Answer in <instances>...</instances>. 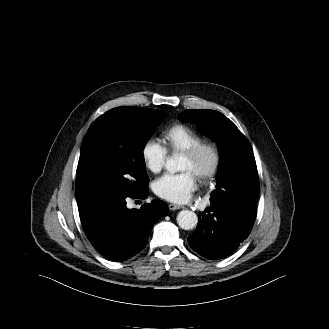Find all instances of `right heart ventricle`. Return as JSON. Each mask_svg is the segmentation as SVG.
<instances>
[{
  "mask_svg": "<svg viewBox=\"0 0 329 329\" xmlns=\"http://www.w3.org/2000/svg\"><path fill=\"white\" fill-rule=\"evenodd\" d=\"M168 149L173 152H184L203 141V136L185 124H174L164 132Z\"/></svg>",
  "mask_w": 329,
  "mask_h": 329,
  "instance_id": "1",
  "label": "right heart ventricle"
}]
</instances>
